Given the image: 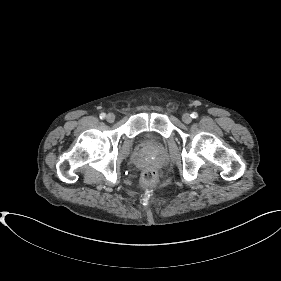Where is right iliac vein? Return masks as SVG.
<instances>
[{
    "mask_svg": "<svg viewBox=\"0 0 281 281\" xmlns=\"http://www.w3.org/2000/svg\"><path fill=\"white\" fill-rule=\"evenodd\" d=\"M106 119L109 123H112L114 122L115 120V115L113 113H109L107 116H106Z\"/></svg>",
    "mask_w": 281,
    "mask_h": 281,
    "instance_id": "right-iliac-vein-1",
    "label": "right iliac vein"
}]
</instances>
